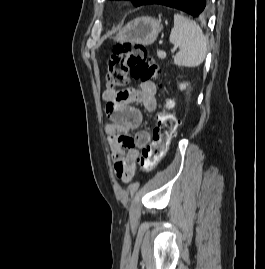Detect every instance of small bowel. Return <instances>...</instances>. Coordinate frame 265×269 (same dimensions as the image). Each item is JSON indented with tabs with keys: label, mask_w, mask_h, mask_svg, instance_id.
I'll return each instance as SVG.
<instances>
[{
	"label": "small bowel",
	"mask_w": 265,
	"mask_h": 269,
	"mask_svg": "<svg viewBox=\"0 0 265 269\" xmlns=\"http://www.w3.org/2000/svg\"><path fill=\"white\" fill-rule=\"evenodd\" d=\"M156 85L149 80H142L139 88H127L122 91L105 89L102 99L106 103L109 122L106 125L115 175L124 183L134 176L135 161L140 149L149 141L146 131L131 137L130 131L137 129L143 120L142 110L131 106L140 105L151 113L156 108Z\"/></svg>",
	"instance_id": "c3829d8e"
}]
</instances>
